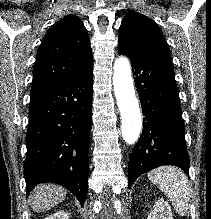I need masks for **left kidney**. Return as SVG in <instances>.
<instances>
[{
  "label": "left kidney",
  "instance_id": "obj_1",
  "mask_svg": "<svg viewBox=\"0 0 211 219\" xmlns=\"http://www.w3.org/2000/svg\"><path fill=\"white\" fill-rule=\"evenodd\" d=\"M147 219H173L171 207L168 202L159 199Z\"/></svg>",
  "mask_w": 211,
  "mask_h": 219
}]
</instances>
